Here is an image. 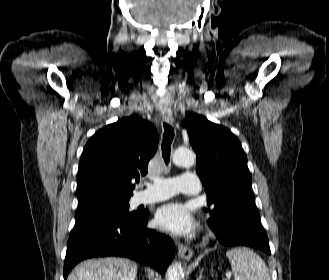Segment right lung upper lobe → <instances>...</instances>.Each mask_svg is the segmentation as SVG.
Wrapping results in <instances>:
<instances>
[{
  "mask_svg": "<svg viewBox=\"0 0 329 280\" xmlns=\"http://www.w3.org/2000/svg\"><path fill=\"white\" fill-rule=\"evenodd\" d=\"M158 145L155 127L140 117H124L98 130L79 162L78 200L93 196L130 198L131 181L147 172Z\"/></svg>",
  "mask_w": 329,
  "mask_h": 280,
  "instance_id": "right-lung-upper-lobe-1",
  "label": "right lung upper lobe"
}]
</instances>
